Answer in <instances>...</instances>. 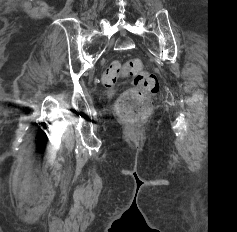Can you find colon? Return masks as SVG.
Returning <instances> with one entry per match:
<instances>
[{"label":"colon","mask_w":237,"mask_h":232,"mask_svg":"<svg viewBox=\"0 0 237 232\" xmlns=\"http://www.w3.org/2000/svg\"><path fill=\"white\" fill-rule=\"evenodd\" d=\"M127 75L133 76V88L127 90L117 103L118 115L132 125L144 121L152 111L149 96L159 91L157 77L144 71L143 64L138 59H132L125 64L113 61L105 70L102 81L112 86L118 78Z\"/></svg>","instance_id":"colon-1"}]
</instances>
